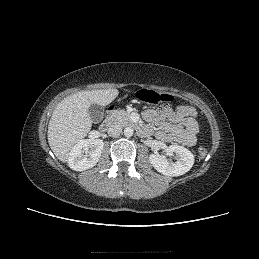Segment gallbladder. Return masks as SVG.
I'll use <instances>...</instances> for the list:
<instances>
[{
  "mask_svg": "<svg viewBox=\"0 0 259 259\" xmlns=\"http://www.w3.org/2000/svg\"><path fill=\"white\" fill-rule=\"evenodd\" d=\"M89 115L94 123H99L104 116V109L98 104H91L89 109Z\"/></svg>",
  "mask_w": 259,
  "mask_h": 259,
  "instance_id": "1",
  "label": "gallbladder"
}]
</instances>
